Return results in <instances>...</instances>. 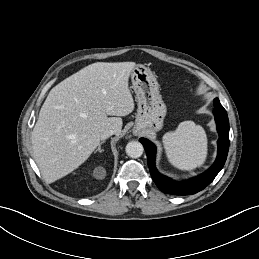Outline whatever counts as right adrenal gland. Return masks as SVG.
Instances as JSON below:
<instances>
[{
    "label": "right adrenal gland",
    "instance_id": "right-adrenal-gland-1",
    "mask_svg": "<svg viewBox=\"0 0 259 259\" xmlns=\"http://www.w3.org/2000/svg\"><path fill=\"white\" fill-rule=\"evenodd\" d=\"M104 143H105V141L100 142V144L98 145V148L95 150L94 153H97V152L102 153L104 150L101 149V145Z\"/></svg>",
    "mask_w": 259,
    "mask_h": 259
}]
</instances>
